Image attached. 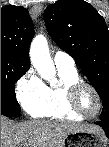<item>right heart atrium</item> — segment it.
Segmentation results:
<instances>
[{
    "label": "right heart atrium",
    "instance_id": "obj_1",
    "mask_svg": "<svg viewBox=\"0 0 109 147\" xmlns=\"http://www.w3.org/2000/svg\"><path fill=\"white\" fill-rule=\"evenodd\" d=\"M16 97L23 108L43 104L48 98L46 85L34 72L28 71L17 82Z\"/></svg>",
    "mask_w": 109,
    "mask_h": 147
}]
</instances>
